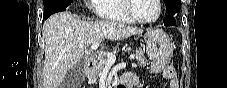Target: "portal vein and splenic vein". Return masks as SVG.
Returning a JSON list of instances; mask_svg holds the SVG:
<instances>
[{
	"mask_svg": "<svg viewBox=\"0 0 227 88\" xmlns=\"http://www.w3.org/2000/svg\"><path fill=\"white\" fill-rule=\"evenodd\" d=\"M100 46V43H93L90 48L92 51H97L98 47ZM99 54H105L107 56V65H113L116 61V55L112 53H106L103 51H97ZM135 58V55H130L129 59L132 60Z\"/></svg>",
	"mask_w": 227,
	"mask_h": 88,
	"instance_id": "18ae733b",
	"label": "portal vein and splenic vein"
}]
</instances>
